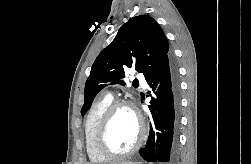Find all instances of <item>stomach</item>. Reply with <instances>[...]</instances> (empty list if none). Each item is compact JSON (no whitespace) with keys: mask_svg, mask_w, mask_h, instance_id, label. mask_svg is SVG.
Masks as SVG:
<instances>
[{"mask_svg":"<svg viewBox=\"0 0 251 164\" xmlns=\"http://www.w3.org/2000/svg\"><path fill=\"white\" fill-rule=\"evenodd\" d=\"M120 164H141V163H138V162H122Z\"/></svg>","mask_w":251,"mask_h":164,"instance_id":"1","label":"stomach"}]
</instances>
